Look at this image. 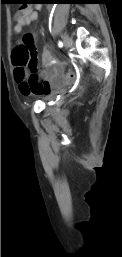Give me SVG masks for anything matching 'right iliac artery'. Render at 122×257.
<instances>
[{"label": "right iliac artery", "mask_w": 122, "mask_h": 257, "mask_svg": "<svg viewBox=\"0 0 122 257\" xmlns=\"http://www.w3.org/2000/svg\"><path fill=\"white\" fill-rule=\"evenodd\" d=\"M58 45H59V47H62L63 43L61 41H59Z\"/></svg>", "instance_id": "1"}]
</instances>
